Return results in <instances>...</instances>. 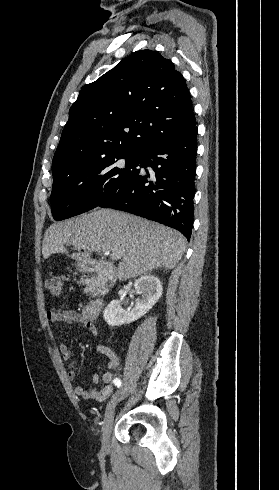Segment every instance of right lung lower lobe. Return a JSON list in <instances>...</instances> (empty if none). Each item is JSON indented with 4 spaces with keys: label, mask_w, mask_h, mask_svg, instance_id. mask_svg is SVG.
<instances>
[{
    "label": "right lung lower lobe",
    "mask_w": 279,
    "mask_h": 490,
    "mask_svg": "<svg viewBox=\"0 0 279 490\" xmlns=\"http://www.w3.org/2000/svg\"><path fill=\"white\" fill-rule=\"evenodd\" d=\"M198 129L156 146L143 154L155 177L143 172L123 184L99 207L113 208L151 219L180 231L189 241L193 228Z\"/></svg>",
    "instance_id": "obj_1"
}]
</instances>
